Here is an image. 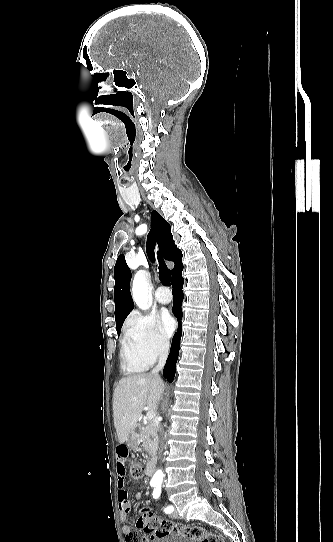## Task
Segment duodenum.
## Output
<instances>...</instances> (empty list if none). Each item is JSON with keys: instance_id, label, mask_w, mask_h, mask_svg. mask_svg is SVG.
<instances>
[{"instance_id": "410a0bca", "label": "duodenum", "mask_w": 333, "mask_h": 542, "mask_svg": "<svg viewBox=\"0 0 333 542\" xmlns=\"http://www.w3.org/2000/svg\"><path fill=\"white\" fill-rule=\"evenodd\" d=\"M154 472V462L149 460L146 464L145 473L148 477H151Z\"/></svg>"}]
</instances>
